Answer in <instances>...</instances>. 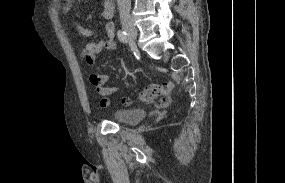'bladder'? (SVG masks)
Returning <instances> with one entry per match:
<instances>
[{
    "mask_svg": "<svg viewBox=\"0 0 285 183\" xmlns=\"http://www.w3.org/2000/svg\"><path fill=\"white\" fill-rule=\"evenodd\" d=\"M114 120L123 124H135L143 120L146 116L144 109L116 108L110 112Z\"/></svg>",
    "mask_w": 285,
    "mask_h": 183,
    "instance_id": "bladder-1",
    "label": "bladder"
}]
</instances>
